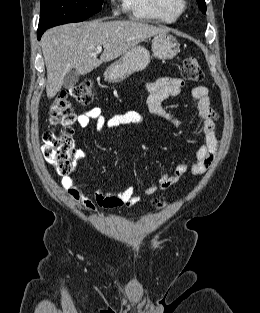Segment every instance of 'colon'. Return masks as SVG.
<instances>
[{
  "mask_svg": "<svg viewBox=\"0 0 260 313\" xmlns=\"http://www.w3.org/2000/svg\"><path fill=\"white\" fill-rule=\"evenodd\" d=\"M182 75L186 80L198 82L203 79L204 72L196 58L185 57L182 64ZM94 97V82L84 80L59 92L50 106L49 119L53 128L43 134V155L59 175L65 176L70 172L76 155L72 139L75 113L70 98L78 103L88 104ZM157 206H162V203H158Z\"/></svg>",
  "mask_w": 260,
  "mask_h": 313,
  "instance_id": "5ec220e1",
  "label": "colon"
}]
</instances>
